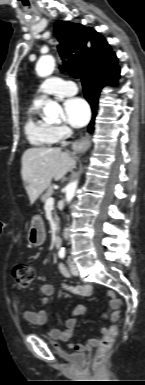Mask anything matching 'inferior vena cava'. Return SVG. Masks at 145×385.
<instances>
[{"label": "inferior vena cava", "instance_id": "obj_1", "mask_svg": "<svg viewBox=\"0 0 145 385\" xmlns=\"http://www.w3.org/2000/svg\"><path fill=\"white\" fill-rule=\"evenodd\" d=\"M67 231H68L67 228H65V229H64V234H63V236H64L65 239L68 238V232H67Z\"/></svg>", "mask_w": 145, "mask_h": 385}]
</instances>
